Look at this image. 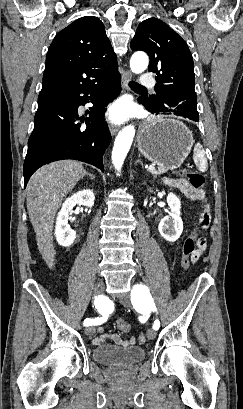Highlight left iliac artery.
Returning a JSON list of instances; mask_svg holds the SVG:
<instances>
[{
	"mask_svg": "<svg viewBox=\"0 0 243 409\" xmlns=\"http://www.w3.org/2000/svg\"><path fill=\"white\" fill-rule=\"evenodd\" d=\"M148 293V289L147 287L143 286V285H135V287L133 288V291L131 293V300L133 302V305H135V308L139 307V304L141 303L142 305H146L148 309H151L153 311L157 312V308L151 299H146V294ZM145 299V300H144ZM160 327V322L158 320L154 321L153 324V329L158 330Z\"/></svg>",
	"mask_w": 243,
	"mask_h": 409,
	"instance_id": "left-iliac-artery-1",
	"label": "left iliac artery"
}]
</instances>
